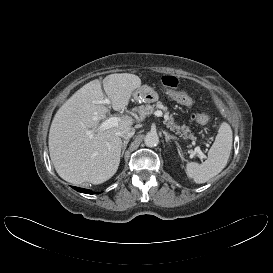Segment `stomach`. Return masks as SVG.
Listing matches in <instances>:
<instances>
[{"label": "stomach", "mask_w": 273, "mask_h": 273, "mask_svg": "<svg viewBox=\"0 0 273 273\" xmlns=\"http://www.w3.org/2000/svg\"><path fill=\"white\" fill-rule=\"evenodd\" d=\"M134 99L137 102H143V103H152L157 100V94L155 91L148 87V86H142L139 87L133 94Z\"/></svg>", "instance_id": "0dacf381"}]
</instances>
